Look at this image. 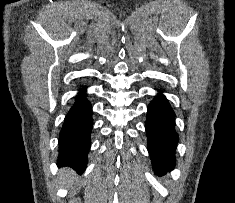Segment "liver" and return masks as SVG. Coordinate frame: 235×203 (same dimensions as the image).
<instances>
[{
    "mask_svg": "<svg viewBox=\"0 0 235 203\" xmlns=\"http://www.w3.org/2000/svg\"><path fill=\"white\" fill-rule=\"evenodd\" d=\"M74 176V172H72L71 170L67 169H63L60 172V177L62 180L66 181L68 184L71 183V178Z\"/></svg>",
    "mask_w": 235,
    "mask_h": 203,
    "instance_id": "1",
    "label": "liver"
}]
</instances>
